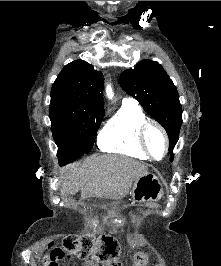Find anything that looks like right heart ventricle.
Wrapping results in <instances>:
<instances>
[{"instance_id": "right-heart-ventricle-1", "label": "right heart ventricle", "mask_w": 221, "mask_h": 266, "mask_svg": "<svg viewBox=\"0 0 221 266\" xmlns=\"http://www.w3.org/2000/svg\"><path fill=\"white\" fill-rule=\"evenodd\" d=\"M146 115L139 106L122 105L118 113L101 130L98 144L101 150L148 159L139 142V128Z\"/></svg>"}]
</instances>
